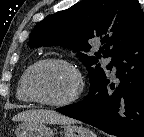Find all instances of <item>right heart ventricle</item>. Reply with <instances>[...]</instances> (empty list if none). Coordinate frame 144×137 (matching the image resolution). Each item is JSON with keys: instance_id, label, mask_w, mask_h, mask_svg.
Here are the masks:
<instances>
[{"instance_id": "1", "label": "right heart ventricle", "mask_w": 144, "mask_h": 137, "mask_svg": "<svg viewBox=\"0 0 144 137\" xmlns=\"http://www.w3.org/2000/svg\"><path fill=\"white\" fill-rule=\"evenodd\" d=\"M26 72H27V70L20 77L19 82H18V86H17V91H16L17 99L21 102L31 101L29 99V97L27 96L25 89H24V81H25V77H26Z\"/></svg>"}]
</instances>
